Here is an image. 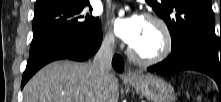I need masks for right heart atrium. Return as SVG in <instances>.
<instances>
[{
  "instance_id": "1",
  "label": "right heart atrium",
  "mask_w": 221,
  "mask_h": 102,
  "mask_svg": "<svg viewBox=\"0 0 221 102\" xmlns=\"http://www.w3.org/2000/svg\"><path fill=\"white\" fill-rule=\"evenodd\" d=\"M114 44V35L111 30L107 29L103 36V45L105 47H112Z\"/></svg>"
}]
</instances>
